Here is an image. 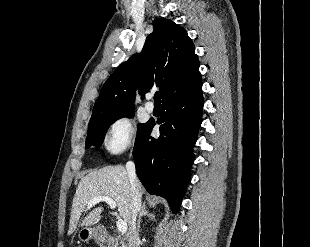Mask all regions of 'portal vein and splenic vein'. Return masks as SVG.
<instances>
[{
  "instance_id": "portal-vein-and-splenic-vein-1",
  "label": "portal vein and splenic vein",
  "mask_w": 310,
  "mask_h": 247,
  "mask_svg": "<svg viewBox=\"0 0 310 247\" xmlns=\"http://www.w3.org/2000/svg\"><path fill=\"white\" fill-rule=\"evenodd\" d=\"M103 201L106 202L110 206L111 209L116 208V202L108 196L95 197L88 203V206L92 207V206L98 204L99 202H103ZM116 226H117V229L119 232H121V233L127 232V224L123 220L118 219L116 222Z\"/></svg>"
}]
</instances>
